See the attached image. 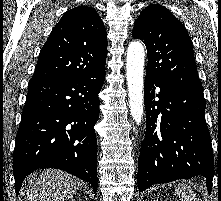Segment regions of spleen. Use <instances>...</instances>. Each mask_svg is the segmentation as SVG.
Wrapping results in <instances>:
<instances>
[{"mask_svg": "<svg viewBox=\"0 0 221 201\" xmlns=\"http://www.w3.org/2000/svg\"><path fill=\"white\" fill-rule=\"evenodd\" d=\"M175 190L182 201H195L196 200V194L188 186L178 184Z\"/></svg>", "mask_w": 221, "mask_h": 201, "instance_id": "obj_1", "label": "spleen"}]
</instances>
